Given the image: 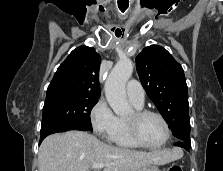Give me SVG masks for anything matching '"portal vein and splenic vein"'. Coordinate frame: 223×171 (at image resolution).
Returning a JSON list of instances; mask_svg holds the SVG:
<instances>
[{
  "instance_id": "obj_1",
  "label": "portal vein and splenic vein",
  "mask_w": 223,
  "mask_h": 171,
  "mask_svg": "<svg viewBox=\"0 0 223 171\" xmlns=\"http://www.w3.org/2000/svg\"><path fill=\"white\" fill-rule=\"evenodd\" d=\"M106 166V164L100 163V164H93L91 166L92 169L97 170V169H101L104 168Z\"/></svg>"
}]
</instances>
